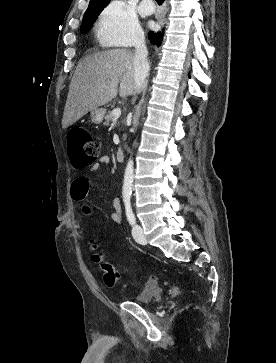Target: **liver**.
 Listing matches in <instances>:
<instances>
[{"label": "liver", "mask_w": 276, "mask_h": 363, "mask_svg": "<svg viewBox=\"0 0 276 363\" xmlns=\"http://www.w3.org/2000/svg\"><path fill=\"white\" fill-rule=\"evenodd\" d=\"M133 61L134 53L128 49L100 51L85 57L69 85L62 127L66 129L89 111L107 104L118 92L121 97L134 94L137 89Z\"/></svg>", "instance_id": "6515ba94"}]
</instances>
